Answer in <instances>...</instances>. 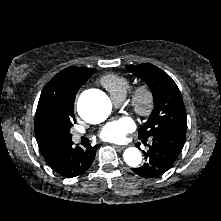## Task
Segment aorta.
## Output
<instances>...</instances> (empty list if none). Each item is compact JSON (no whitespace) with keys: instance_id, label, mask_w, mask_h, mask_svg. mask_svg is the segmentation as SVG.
<instances>
[{"instance_id":"1","label":"aorta","mask_w":221,"mask_h":221,"mask_svg":"<svg viewBox=\"0 0 221 221\" xmlns=\"http://www.w3.org/2000/svg\"><path fill=\"white\" fill-rule=\"evenodd\" d=\"M79 115L89 123L104 121L110 114L112 106L109 98L103 93L83 95L77 103ZM124 161L131 167H137L142 156L135 147L127 148L123 153Z\"/></svg>"}]
</instances>
